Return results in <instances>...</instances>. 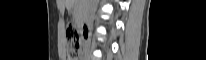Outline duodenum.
Listing matches in <instances>:
<instances>
[{"label": "duodenum", "instance_id": "410a0bca", "mask_svg": "<svg viewBox=\"0 0 206 60\" xmlns=\"http://www.w3.org/2000/svg\"><path fill=\"white\" fill-rule=\"evenodd\" d=\"M89 29H90V24L85 22L83 25H82V31H83V34L85 36H87L89 34Z\"/></svg>", "mask_w": 206, "mask_h": 60}]
</instances>
